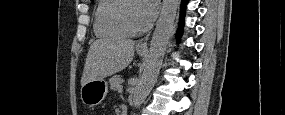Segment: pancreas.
I'll list each match as a JSON object with an SVG mask.
<instances>
[{
    "label": "pancreas",
    "mask_w": 285,
    "mask_h": 115,
    "mask_svg": "<svg viewBox=\"0 0 285 115\" xmlns=\"http://www.w3.org/2000/svg\"><path fill=\"white\" fill-rule=\"evenodd\" d=\"M122 78L119 75H115L109 79L110 89L118 90L120 84L122 83Z\"/></svg>",
    "instance_id": "pancreas-1"
}]
</instances>
